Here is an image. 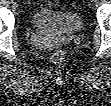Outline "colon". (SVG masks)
<instances>
[{"label": "colon", "mask_w": 111, "mask_h": 106, "mask_svg": "<svg viewBox=\"0 0 111 106\" xmlns=\"http://www.w3.org/2000/svg\"><path fill=\"white\" fill-rule=\"evenodd\" d=\"M51 59H52V61L54 62V63H62L63 61H64V59H65V53L63 52V51H61V50H59V51H56L53 55H52V57H51Z\"/></svg>", "instance_id": "colon-1"}]
</instances>
